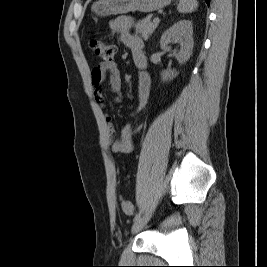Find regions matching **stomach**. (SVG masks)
Returning <instances> with one entry per match:
<instances>
[{
  "instance_id": "1",
  "label": "stomach",
  "mask_w": 267,
  "mask_h": 267,
  "mask_svg": "<svg viewBox=\"0 0 267 267\" xmlns=\"http://www.w3.org/2000/svg\"><path fill=\"white\" fill-rule=\"evenodd\" d=\"M171 1L172 0H98L92 5L91 10L101 17L134 11L150 13L163 9L169 5Z\"/></svg>"
}]
</instances>
